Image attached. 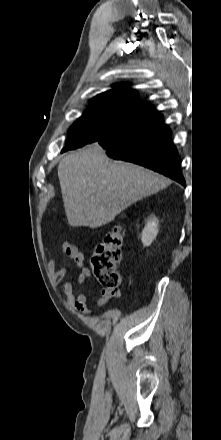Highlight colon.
Instances as JSON below:
<instances>
[{
	"label": "colon",
	"mask_w": 221,
	"mask_h": 440,
	"mask_svg": "<svg viewBox=\"0 0 221 440\" xmlns=\"http://www.w3.org/2000/svg\"><path fill=\"white\" fill-rule=\"evenodd\" d=\"M122 246V230L114 226L94 248L90 264L97 282L105 289L118 290L121 285L117 267L122 260Z\"/></svg>",
	"instance_id": "1"
}]
</instances>
